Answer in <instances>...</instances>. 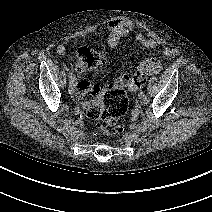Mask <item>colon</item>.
I'll return each instance as SVG.
<instances>
[{
  "mask_svg": "<svg viewBox=\"0 0 212 212\" xmlns=\"http://www.w3.org/2000/svg\"><path fill=\"white\" fill-rule=\"evenodd\" d=\"M77 57V71L87 73L104 62L105 53L102 50L82 47ZM144 83L145 76L142 75L132 78L124 75L103 87L92 85L87 80L79 81L78 89L84 112L88 118L99 121V133L108 135L121 131L124 117L129 110V99L124 87L139 89Z\"/></svg>",
  "mask_w": 212,
  "mask_h": 212,
  "instance_id": "obj_1",
  "label": "colon"
}]
</instances>
